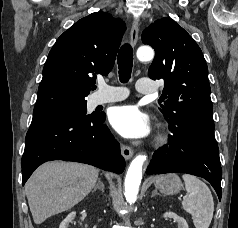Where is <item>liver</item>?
<instances>
[{"label":"liver","instance_id":"liver-1","mask_svg":"<svg viewBox=\"0 0 238 228\" xmlns=\"http://www.w3.org/2000/svg\"><path fill=\"white\" fill-rule=\"evenodd\" d=\"M98 174L97 168L80 163L52 161L38 167L25 186L34 222L74 207L95 187Z\"/></svg>","mask_w":238,"mask_h":228}]
</instances>
